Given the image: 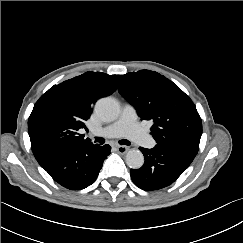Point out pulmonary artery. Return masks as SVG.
<instances>
[{
  "label": "pulmonary artery",
  "instance_id": "1",
  "mask_svg": "<svg viewBox=\"0 0 243 243\" xmlns=\"http://www.w3.org/2000/svg\"><path fill=\"white\" fill-rule=\"evenodd\" d=\"M93 136L116 138L126 136L140 145L153 147L155 141L138 124L137 113L130 105H125L120 118L113 124L100 129H92Z\"/></svg>",
  "mask_w": 243,
  "mask_h": 243
}]
</instances>
